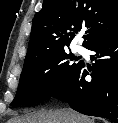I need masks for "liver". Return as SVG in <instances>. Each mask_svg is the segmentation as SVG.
Wrapping results in <instances>:
<instances>
[{
    "mask_svg": "<svg viewBox=\"0 0 118 123\" xmlns=\"http://www.w3.org/2000/svg\"><path fill=\"white\" fill-rule=\"evenodd\" d=\"M7 123H94V120L70 108H62L30 112L22 117L12 118Z\"/></svg>",
    "mask_w": 118,
    "mask_h": 123,
    "instance_id": "liver-1",
    "label": "liver"
}]
</instances>
